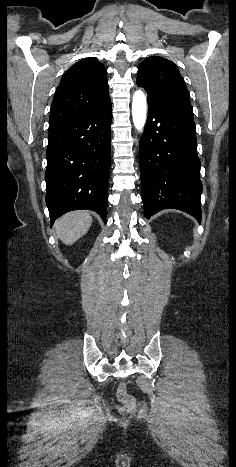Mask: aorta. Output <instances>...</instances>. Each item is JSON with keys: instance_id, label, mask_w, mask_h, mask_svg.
Segmentation results:
<instances>
[{"instance_id": "762f6f07", "label": "aorta", "mask_w": 236, "mask_h": 467, "mask_svg": "<svg viewBox=\"0 0 236 467\" xmlns=\"http://www.w3.org/2000/svg\"><path fill=\"white\" fill-rule=\"evenodd\" d=\"M147 100L141 90H137L132 100V118L135 128L142 132L146 123Z\"/></svg>"}]
</instances>
